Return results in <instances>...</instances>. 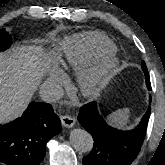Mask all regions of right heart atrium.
Returning a JSON list of instances; mask_svg holds the SVG:
<instances>
[{"label": "right heart atrium", "instance_id": "1", "mask_svg": "<svg viewBox=\"0 0 165 165\" xmlns=\"http://www.w3.org/2000/svg\"><path fill=\"white\" fill-rule=\"evenodd\" d=\"M49 80L55 84H61L64 82V76L59 70H55L50 74Z\"/></svg>", "mask_w": 165, "mask_h": 165}]
</instances>
